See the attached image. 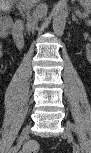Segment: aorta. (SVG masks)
Wrapping results in <instances>:
<instances>
[{
  "instance_id": "1",
  "label": "aorta",
  "mask_w": 91,
  "mask_h": 153,
  "mask_svg": "<svg viewBox=\"0 0 91 153\" xmlns=\"http://www.w3.org/2000/svg\"><path fill=\"white\" fill-rule=\"evenodd\" d=\"M66 10L63 1H59L53 11V31L56 35H61L66 25Z\"/></svg>"
}]
</instances>
